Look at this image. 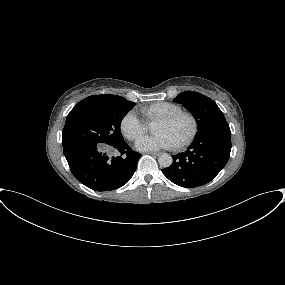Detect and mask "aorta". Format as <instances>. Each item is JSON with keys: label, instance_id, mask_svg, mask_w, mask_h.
I'll return each instance as SVG.
<instances>
[{"label": "aorta", "instance_id": "aorta-1", "mask_svg": "<svg viewBox=\"0 0 285 285\" xmlns=\"http://www.w3.org/2000/svg\"><path fill=\"white\" fill-rule=\"evenodd\" d=\"M158 162L160 164V166L167 168L169 166H171L173 159L172 156L167 154V153H163L158 157Z\"/></svg>", "mask_w": 285, "mask_h": 285}]
</instances>
